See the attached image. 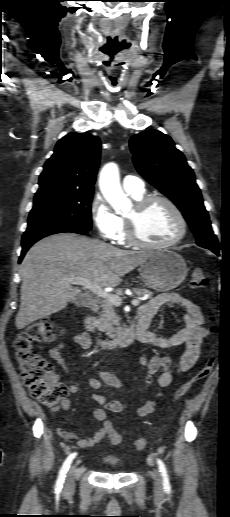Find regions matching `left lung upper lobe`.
<instances>
[{
    "label": "left lung upper lobe",
    "mask_w": 230,
    "mask_h": 517,
    "mask_svg": "<svg viewBox=\"0 0 230 517\" xmlns=\"http://www.w3.org/2000/svg\"><path fill=\"white\" fill-rule=\"evenodd\" d=\"M130 149L137 171L181 210L197 244L218 248L194 172L172 139L158 130H147L132 136Z\"/></svg>",
    "instance_id": "left-lung-upper-lobe-1"
}]
</instances>
